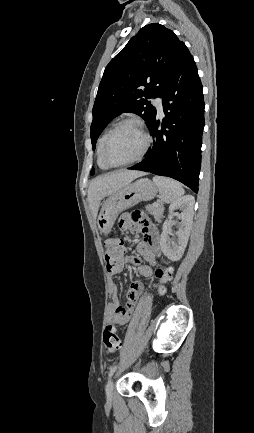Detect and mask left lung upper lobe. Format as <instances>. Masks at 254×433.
<instances>
[{"instance_id": "left-lung-upper-lobe-1", "label": "left lung upper lobe", "mask_w": 254, "mask_h": 433, "mask_svg": "<svg viewBox=\"0 0 254 433\" xmlns=\"http://www.w3.org/2000/svg\"><path fill=\"white\" fill-rule=\"evenodd\" d=\"M189 50L163 25L144 26L107 65L93 106L91 141L116 116L133 112L150 126L156 109L147 99L161 97ZM94 174V171H91Z\"/></svg>"}]
</instances>
